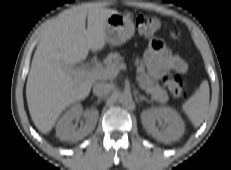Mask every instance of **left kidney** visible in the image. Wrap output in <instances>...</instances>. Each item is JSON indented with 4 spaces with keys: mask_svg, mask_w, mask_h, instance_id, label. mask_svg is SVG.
I'll return each mask as SVG.
<instances>
[{
    "mask_svg": "<svg viewBox=\"0 0 231 170\" xmlns=\"http://www.w3.org/2000/svg\"><path fill=\"white\" fill-rule=\"evenodd\" d=\"M141 121L146 131L155 139L170 143L181 138L185 124L180 115L170 107L152 108L142 112ZM159 122V127L156 126Z\"/></svg>",
    "mask_w": 231,
    "mask_h": 170,
    "instance_id": "5707ae66",
    "label": "left kidney"
}]
</instances>
